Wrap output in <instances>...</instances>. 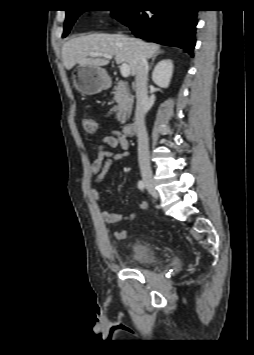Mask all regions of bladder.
<instances>
[{
    "instance_id": "1",
    "label": "bladder",
    "mask_w": 254,
    "mask_h": 355,
    "mask_svg": "<svg viewBox=\"0 0 254 355\" xmlns=\"http://www.w3.org/2000/svg\"><path fill=\"white\" fill-rule=\"evenodd\" d=\"M131 257L134 262L140 265H152L158 261L154 246L144 240H136L134 242Z\"/></svg>"
}]
</instances>
